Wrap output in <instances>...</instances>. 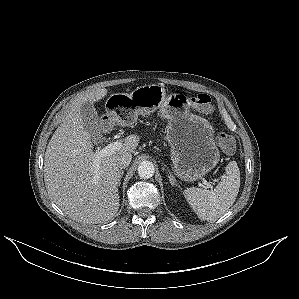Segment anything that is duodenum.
Instances as JSON below:
<instances>
[{
	"instance_id": "obj_1",
	"label": "duodenum",
	"mask_w": 299,
	"mask_h": 299,
	"mask_svg": "<svg viewBox=\"0 0 299 299\" xmlns=\"http://www.w3.org/2000/svg\"><path fill=\"white\" fill-rule=\"evenodd\" d=\"M108 107H110V109H113V106L111 105V104H109V106ZM107 117H105V119H106Z\"/></svg>"
}]
</instances>
